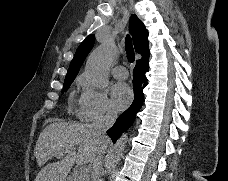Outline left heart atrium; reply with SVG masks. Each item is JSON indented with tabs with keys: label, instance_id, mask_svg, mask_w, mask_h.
<instances>
[{
	"label": "left heart atrium",
	"instance_id": "obj_1",
	"mask_svg": "<svg viewBox=\"0 0 228 181\" xmlns=\"http://www.w3.org/2000/svg\"><path fill=\"white\" fill-rule=\"evenodd\" d=\"M113 97L117 104H125L132 96L131 88L123 83H116L113 86Z\"/></svg>",
	"mask_w": 228,
	"mask_h": 181
}]
</instances>
